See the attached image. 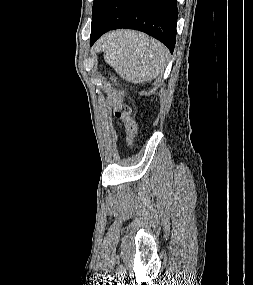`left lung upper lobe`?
Masks as SVG:
<instances>
[{
    "mask_svg": "<svg viewBox=\"0 0 253 285\" xmlns=\"http://www.w3.org/2000/svg\"><path fill=\"white\" fill-rule=\"evenodd\" d=\"M107 0H94L93 2V14H92V24L97 19L99 14L101 13L104 5L106 4Z\"/></svg>",
    "mask_w": 253,
    "mask_h": 285,
    "instance_id": "obj_1",
    "label": "left lung upper lobe"
}]
</instances>
